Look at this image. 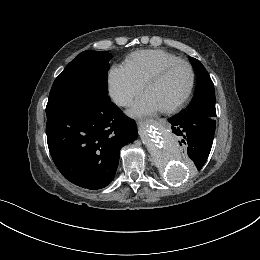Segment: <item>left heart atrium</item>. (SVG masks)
I'll return each mask as SVG.
<instances>
[{"label":"left heart atrium","mask_w":260,"mask_h":260,"mask_svg":"<svg viewBox=\"0 0 260 260\" xmlns=\"http://www.w3.org/2000/svg\"><path fill=\"white\" fill-rule=\"evenodd\" d=\"M160 106L147 93L142 95L133 104L131 113L134 115H145L158 111Z\"/></svg>","instance_id":"left-heart-atrium-1"}]
</instances>
